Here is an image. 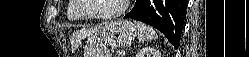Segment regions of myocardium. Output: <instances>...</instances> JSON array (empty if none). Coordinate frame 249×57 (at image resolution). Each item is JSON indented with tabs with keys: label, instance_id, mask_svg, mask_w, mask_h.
Masks as SVG:
<instances>
[{
	"label": "myocardium",
	"instance_id": "myocardium-1",
	"mask_svg": "<svg viewBox=\"0 0 249 57\" xmlns=\"http://www.w3.org/2000/svg\"><path fill=\"white\" fill-rule=\"evenodd\" d=\"M77 2V11L78 13L83 16L84 18L87 19H92V20H112L115 19L119 16H121L127 9L129 0H123V3L119 10L108 13V14H91L86 11L87 9V2L88 0H76Z\"/></svg>",
	"mask_w": 249,
	"mask_h": 57
}]
</instances>
